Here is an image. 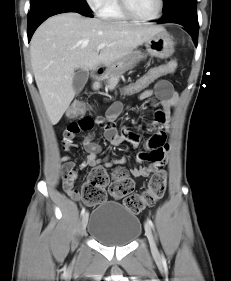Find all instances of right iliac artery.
I'll return each instance as SVG.
<instances>
[{
	"label": "right iliac artery",
	"instance_id": "obj_1",
	"mask_svg": "<svg viewBox=\"0 0 231 281\" xmlns=\"http://www.w3.org/2000/svg\"><path fill=\"white\" fill-rule=\"evenodd\" d=\"M84 213H85V208H82L81 215H84Z\"/></svg>",
	"mask_w": 231,
	"mask_h": 281
}]
</instances>
